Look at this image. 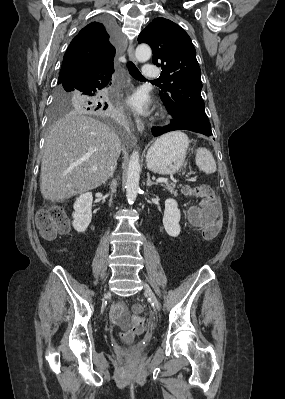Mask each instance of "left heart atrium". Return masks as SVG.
<instances>
[{
  "label": "left heart atrium",
  "mask_w": 285,
  "mask_h": 399,
  "mask_svg": "<svg viewBox=\"0 0 285 399\" xmlns=\"http://www.w3.org/2000/svg\"><path fill=\"white\" fill-rule=\"evenodd\" d=\"M128 105L137 113L146 114L149 111V100L142 91H135L128 98Z\"/></svg>",
  "instance_id": "obj_1"
}]
</instances>
